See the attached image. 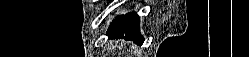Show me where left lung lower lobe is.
<instances>
[{"mask_svg":"<svg viewBox=\"0 0 249 57\" xmlns=\"http://www.w3.org/2000/svg\"><path fill=\"white\" fill-rule=\"evenodd\" d=\"M125 39L134 40L136 43L142 44L144 38L139 32V16L135 13H129L117 17L108 28L106 35L116 38L124 37Z\"/></svg>","mask_w":249,"mask_h":57,"instance_id":"1","label":"left lung lower lobe"}]
</instances>
